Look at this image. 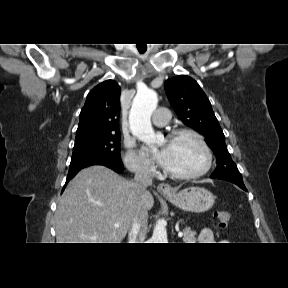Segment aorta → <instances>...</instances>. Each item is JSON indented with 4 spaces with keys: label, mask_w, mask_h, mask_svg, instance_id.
<instances>
[{
    "label": "aorta",
    "mask_w": 288,
    "mask_h": 288,
    "mask_svg": "<svg viewBox=\"0 0 288 288\" xmlns=\"http://www.w3.org/2000/svg\"><path fill=\"white\" fill-rule=\"evenodd\" d=\"M157 103V94L150 89L138 91L132 102L129 115L130 128L132 134L146 144L159 142V137L155 134L151 124V115ZM151 241L152 243H168L165 224L160 220L154 227Z\"/></svg>",
    "instance_id": "obj_1"
}]
</instances>
